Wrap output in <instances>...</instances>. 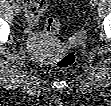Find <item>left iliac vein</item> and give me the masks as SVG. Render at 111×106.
<instances>
[{"label": "left iliac vein", "mask_w": 111, "mask_h": 106, "mask_svg": "<svg viewBox=\"0 0 111 106\" xmlns=\"http://www.w3.org/2000/svg\"><path fill=\"white\" fill-rule=\"evenodd\" d=\"M90 2L93 6H95L97 4V0H91Z\"/></svg>", "instance_id": "1"}]
</instances>
